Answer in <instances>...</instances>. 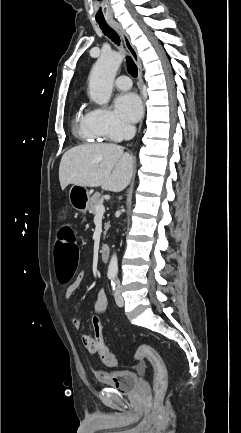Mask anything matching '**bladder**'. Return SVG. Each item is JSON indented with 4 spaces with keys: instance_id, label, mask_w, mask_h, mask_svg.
Segmentation results:
<instances>
[{
    "instance_id": "1",
    "label": "bladder",
    "mask_w": 241,
    "mask_h": 433,
    "mask_svg": "<svg viewBox=\"0 0 241 433\" xmlns=\"http://www.w3.org/2000/svg\"><path fill=\"white\" fill-rule=\"evenodd\" d=\"M96 378L104 387L112 388L122 393L134 391L140 383L139 376L134 371L99 372Z\"/></svg>"
}]
</instances>
